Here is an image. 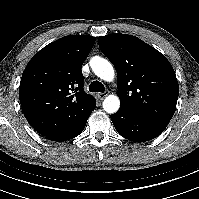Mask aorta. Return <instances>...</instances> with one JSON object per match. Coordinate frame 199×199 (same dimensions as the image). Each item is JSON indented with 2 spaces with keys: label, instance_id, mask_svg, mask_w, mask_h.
I'll return each instance as SVG.
<instances>
[{
  "label": "aorta",
  "instance_id": "762f6f07",
  "mask_svg": "<svg viewBox=\"0 0 199 199\" xmlns=\"http://www.w3.org/2000/svg\"><path fill=\"white\" fill-rule=\"evenodd\" d=\"M90 66L92 71L100 79L104 81H112L114 79L115 73L112 64L101 57H93L90 60ZM120 108V99L116 95H109L103 101V109L110 114L118 111Z\"/></svg>",
  "mask_w": 199,
  "mask_h": 199
}]
</instances>
